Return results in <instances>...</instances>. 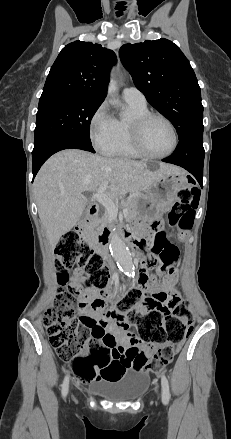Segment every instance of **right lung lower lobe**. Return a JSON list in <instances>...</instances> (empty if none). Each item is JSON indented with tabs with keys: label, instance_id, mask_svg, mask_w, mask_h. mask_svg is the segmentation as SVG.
Wrapping results in <instances>:
<instances>
[{
	"label": "right lung lower lobe",
	"instance_id": "right-lung-lower-lobe-1",
	"mask_svg": "<svg viewBox=\"0 0 231 439\" xmlns=\"http://www.w3.org/2000/svg\"><path fill=\"white\" fill-rule=\"evenodd\" d=\"M81 149L85 151H90L95 153L92 144L83 142L78 138L73 136L61 135L57 136L47 143H45L42 147L33 150L32 159H33V178L37 174L38 170L42 166V164L54 153L63 150V149Z\"/></svg>",
	"mask_w": 231,
	"mask_h": 439
}]
</instances>
